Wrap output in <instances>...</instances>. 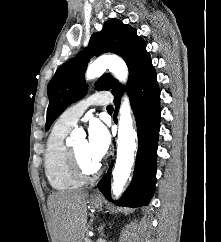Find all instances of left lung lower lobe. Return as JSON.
Listing matches in <instances>:
<instances>
[{
  "label": "left lung lower lobe",
  "mask_w": 221,
  "mask_h": 242,
  "mask_svg": "<svg viewBox=\"0 0 221 242\" xmlns=\"http://www.w3.org/2000/svg\"><path fill=\"white\" fill-rule=\"evenodd\" d=\"M127 92L137 123L139 146L133 180L116 204L126 207H140L148 205L156 182L157 142L161 109L160 90L154 67L148 66L128 82ZM122 93L123 89L112 93L115 97L114 103L117 105L114 113L115 122H117L116 117ZM110 170L99 182L98 188L109 201H112L110 197Z\"/></svg>",
  "instance_id": "0a47b994"
}]
</instances>
